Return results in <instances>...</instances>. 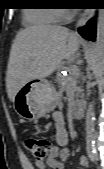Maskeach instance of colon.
Wrapping results in <instances>:
<instances>
[{
  "mask_svg": "<svg viewBox=\"0 0 104 169\" xmlns=\"http://www.w3.org/2000/svg\"><path fill=\"white\" fill-rule=\"evenodd\" d=\"M25 150L38 162H42L50 153L51 141L45 137L27 135L24 137Z\"/></svg>",
  "mask_w": 104,
  "mask_h": 169,
  "instance_id": "obj_1",
  "label": "colon"
}]
</instances>
